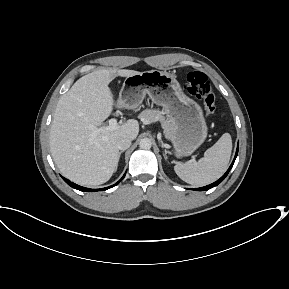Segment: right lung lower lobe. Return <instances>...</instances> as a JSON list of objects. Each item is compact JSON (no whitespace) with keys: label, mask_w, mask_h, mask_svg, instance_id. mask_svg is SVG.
I'll return each mask as SVG.
<instances>
[{"label":"right lung lower lobe","mask_w":289,"mask_h":289,"mask_svg":"<svg viewBox=\"0 0 289 289\" xmlns=\"http://www.w3.org/2000/svg\"><path fill=\"white\" fill-rule=\"evenodd\" d=\"M125 176V175H124ZM124 176L121 178V180L124 178ZM64 179V181L70 185L72 188H75L77 190H80V191H86V192H93V191H102V190H107L115 185H117L120 181H118L116 184L112 185V186H109V187H106V188H102V189H90V188H85V187H81L79 185H76L75 183L73 182H70L69 180H67L66 178L62 177Z\"/></svg>","instance_id":"1"}]
</instances>
